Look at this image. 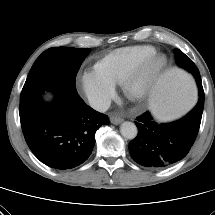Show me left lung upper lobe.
Instances as JSON below:
<instances>
[{
  "label": "left lung upper lobe",
  "mask_w": 215,
  "mask_h": 215,
  "mask_svg": "<svg viewBox=\"0 0 215 215\" xmlns=\"http://www.w3.org/2000/svg\"><path fill=\"white\" fill-rule=\"evenodd\" d=\"M175 59L178 64V66L184 68L188 72H190L197 82V85L199 87V84H201V77L198 68L196 65L191 61V59L186 56L181 50L175 49Z\"/></svg>",
  "instance_id": "obj_1"
}]
</instances>
